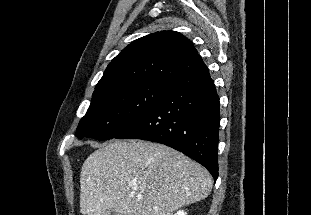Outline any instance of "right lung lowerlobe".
Returning a JSON list of instances; mask_svg holds the SVG:
<instances>
[{"label":"right lung lower lobe","mask_w":311,"mask_h":215,"mask_svg":"<svg viewBox=\"0 0 311 215\" xmlns=\"http://www.w3.org/2000/svg\"><path fill=\"white\" fill-rule=\"evenodd\" d=\"M219 96L206 66L172 81L160 101L116 139H142L172 147L218 178Z\"/></svg>","instance_id":"1"}]
</instances>
